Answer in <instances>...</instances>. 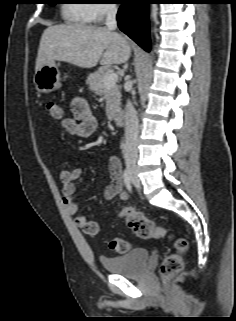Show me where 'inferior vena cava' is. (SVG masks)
Listing matches in <instances>:
<instances>
[{"mask_svg":"<svg viewBox=\"0 0 236 321\" xmlns=\"http://www.w3.org/2000/svg\"><path fill=\"white\" fill-rule=\"evenodd\" d=\"M106 27L113 31L117 28L116 14L117 7L115 4H109L105 7ZM125 147L124 153L126 158L137 157L138 144V118L132 103L127 100L125 106Z\"/></svg>","mask_w":236,"mask_h":321,"instance_id":"602c4592","label":"inferior vena cava"}]
</instances>
